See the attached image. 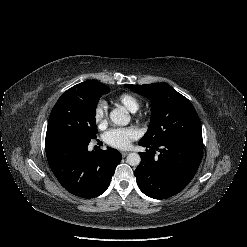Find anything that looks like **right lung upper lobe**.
Listing matches in <instances>:
<instances>
[{"label":"right lung upper lobe","mask_w":247,"mask_h":247,"mask_svg":"<svg viewBox=\"0 0 247 247\" xmlns=\"http://www.w3.org/2000/svg\"><path fill=\"white\" fill-rule=\"evenodd\" d=\"M99 84H100L99 81H96V80H88V81L82 82L80 84H77L74 87L75 88L90 89V88L96 87Z\"/></svg>","instance_id":"cb5924a9"}]
</instances>
